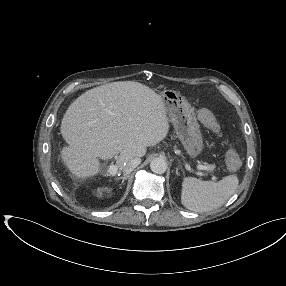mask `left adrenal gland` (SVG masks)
<instances>
[{"label": "left adrenal gland", "instance_id": "a2214340", "mask_svg": "<svg viewBox=\"0 0 286 286\" xmlns=\"http://www.w3.org/2000/svg\"><path fill=\"white\" fill-rule=\"evenodd\" d=\"M180 163V162H179ZM178 169H180V166H178L177 168H176V174L178 175L179 173H178Z\"/></svg>", "mask_w": 286, "mask_h": 286}]
</instances>
